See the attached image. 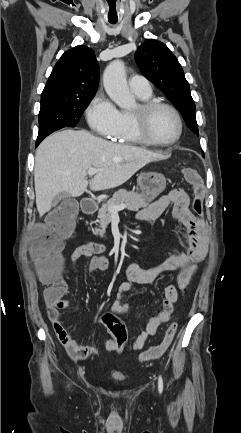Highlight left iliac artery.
I'll list each match as a JSON object with an SVG mask.
<instances>
[{
    "instance_id": "1",
    "label": "left iliac artery",
    "mask_w": 241,
    "mask_h": 433,
    "mask_svg": "<svg viewBox=\"0 0 241 433\" xmlns=\"http://www.w3.org/2000/svg\"><path fill=\"white\" fill-rule=\"evenodd\" d=\"M158 390H159V393H162V391H163V379H162L161 375H159V378H158Z\"/></svg>"
}]
</instances>
